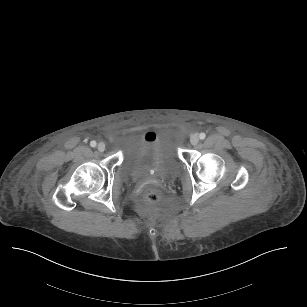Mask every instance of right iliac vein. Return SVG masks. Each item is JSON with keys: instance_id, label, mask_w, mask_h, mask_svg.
Masks as SVG:
<instances>
[{"instance_id": "obj_1", "label": "right iliac vein", "mask_w": 307, "mask_h": 307, "mask_svg": "<svg viewBox=\"0 0 307 307\" xmlns=\"http://www.w3.org/2000/svg\"><path fill=\"white\" fill-rule=\"evenodd\" d=\"M105 144L103 142H100L98 145H97V149L98 151L100 152H103L105 150Z\"/></svg>"}]
</instances>
